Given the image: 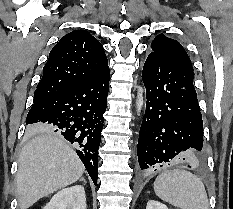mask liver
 Here are the masks:
<instances>
[{"instance_id": "obj_1", "label": "liver", "mask_w": 233, "mask_h": 209, "mask_svg": "<svg viewBox=\"0 0 233 209\" xmlns=\"http://www.w3.org/2000/svg\"><path fill=\"white\" fill-rule=\"evenodd\" d=\"M28 131L36 135L19 156L16 187L20 209H28L39 199L75 183L85 169L60 135L42 126Z\"/></svg>"}]
</instances>
